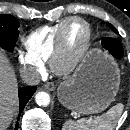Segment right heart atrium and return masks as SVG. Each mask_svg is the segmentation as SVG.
Returning <instances> with one entry per match:
<instances>
[{
  "label": "right heart atrium",
  "mask_w": 130,
  "mask_h": 130,
  "mask_svg": "<svg viewBox=\"0 0 130 130\" xmlns=\"http://www.w3.org/2000/svg\"><path fill=\"white\" fill-rule=\"evenodd\" d=\"M19 65L33 76H39L44 72V63L32 57L29 53L19 51L17 54Z\"/></svg>",
  "instance_id": "obj_1"
}]
</instances>
